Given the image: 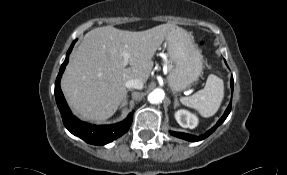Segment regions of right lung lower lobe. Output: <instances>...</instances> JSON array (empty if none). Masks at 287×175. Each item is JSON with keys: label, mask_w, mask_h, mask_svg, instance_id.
Masks as SVG:
<instances>
[{"label": "right lung lower lobe", "mask_w": 287, "mask_h": 175, "mask_svg": "<svg viewBox=\"0 0 287 175\" xmlns=\"http://www.w3.org/2000/svg\"><path fill=\"white\" fill-rule=\"evenodd\" d=\"M75 42L76 41L71 44L67 52L66 59L60 67V72L55 82V98L57 106L61 113V117L63 119L65 127L73 135L78 136L89 144L104 145L119 138L128 131L133 119L132 114H129L128 117L122 122L112 125H94L86 123L79 120L76 116L72 114L61 91L60 79L68 63L69 54L71 53Z\"/></svg>", "instance_id": "right-lung-lower-lobe-1"}]
</instances>
